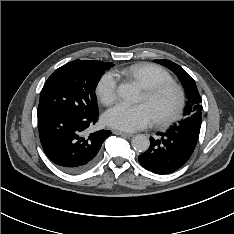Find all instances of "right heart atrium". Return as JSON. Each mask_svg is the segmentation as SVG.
Here are the masks:
<instances>
[{"label":"right heart atrium","mask_w":234,"mask_h":234,"mask_svg":"<svg viewBox=\"0 0 234 234\" xmlns=\"http://www.w3.org/2000/svg\"><path fill=\"white\" fill-rule=\"evenodd\" d=\"M118 80L113 72L104 73L97 82L96 94L104 104H111L117 98Z\"/></svg>","instance_id":"d8ad5b80"}]
</instances>
